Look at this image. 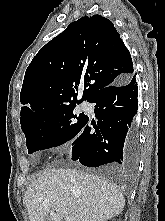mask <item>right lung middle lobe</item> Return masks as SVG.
Returning <instances> with one entry per match:
<instances>
[{
    "label": "right lung middle lobe",
    "instance_id": "right-lung-middle-lobe-1",
    "mask_svg": "<svg viewBox=\"0 0 165 221\" xmlns=\"http://www.w3.org/2000/svg\"><path fill=\"white\" fill-rule=\"evenodd\" d=\"M75 106L50 110L22 122L28 152L57 147L75 137L88 119L83 113H75Z\"/></svg>",
    "mask_w": 165,
    "mask_h": 221
}]
</instances>
